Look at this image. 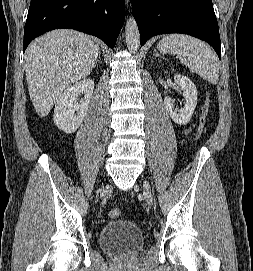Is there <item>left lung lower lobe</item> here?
I'll return each mask as SVG.
<instances>
[{
    "mask_svg": "<svg viewBox=\"0 0 253 271\" xmlns=\"http://www.w3.org/2000/svg\"><path fill=\"white\" fill-rule=\"evenodd\" d=\"M141 45L155 35L183 33L208 42L221 59L219 27L212 0H132Z\"/></svg>",
    "mask_w": 253,
    "mask_h": 271,
    "instance_id": "left-lung-lower-lobe-1",
    "label": "left lung lower lobe"
}]
</instances>
